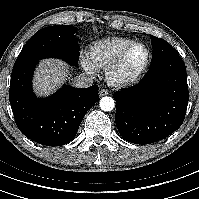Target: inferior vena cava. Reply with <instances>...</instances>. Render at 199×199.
Masks as SVG:
<instances>
[{
  "mask_svg": "<svg viewBox=\"0 0 199 199\" xmlns=\"http://www.w3.org/2000/svg\"><path fill=\"white\" fill-rule=\"evenodd\" d=\"M73 86L76 88H87L93 84V79L85 74H80L73 78Z\"/></svg>",
  "mask_w": 199,
  "mask_h": 199,
  "instance_id": "inferior-vena-cava-1",
  "label": "inferior vena cava"
}]
</instances>
